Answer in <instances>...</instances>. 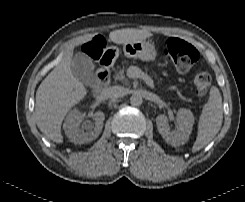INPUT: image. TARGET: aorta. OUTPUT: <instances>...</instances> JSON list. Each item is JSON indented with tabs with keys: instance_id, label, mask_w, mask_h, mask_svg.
Returning a JSON list of instances; mask_svg holds the SVG:
<instances>
[{
	"instance_id": "1",
	"label": "aorta",
	"mask_w": 245,
	"mask_h": 202,
	"mask_svg": "<svg viewBox=\"0 0 245 202\" xmlns=\"http://www.w3.org/2000/svg\"><path fill=\"white\" fill-rule=\"evenodd\" d=\"M142 96L140 94H133L130 97V103L132 106H140L142 104Z\"/></svg>"
}]
</instances>
